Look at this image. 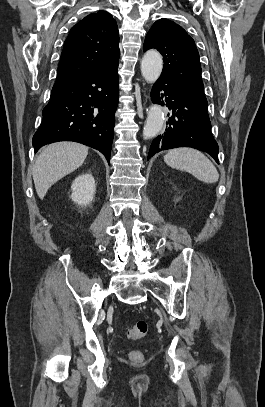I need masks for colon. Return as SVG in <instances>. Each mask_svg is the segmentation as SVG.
Here are the masks:
<instances>
[{
	"mask_svg": "<svg viewBox=\"0 0 265 407\" xmlns=\"http://www.w3.org/2000/svg\"><path fill=\"white\" fill-rule=\"evenodd\" d=\"M148 331V323L144 320L137 321L128 328L127 335L132 340H140L144 338ZM129 358L135 362L143 360V353L139 350H132L129 352Z\"/></svg>",
	"mask_w": 265,
	"mask_h": 407,
	"instance_id": "1",
	"label": "colon"
}]
</instances>
